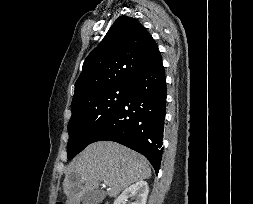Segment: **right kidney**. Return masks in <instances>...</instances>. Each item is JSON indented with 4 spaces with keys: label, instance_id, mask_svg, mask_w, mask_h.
Instances as JSON below:
<instances>
[{
    "label": "right kidney",
    "instance_id": "right-kidney-1",
    "mask_svg": "<svg viewBox=\"0 0 253 204\" xmlns=\"http://www.w3.org/2000/svg\"><path fill=\"white\" fill-rule=\"evenodd\" d=\"M149 192L148 183L146 181H137L135 184L126 188L116 199L114 204H126L129 197L134 198L131 204H146Z\"/></svg>",
    "mask_w": 253,
    "mask_h": 204
}]
</instances>
